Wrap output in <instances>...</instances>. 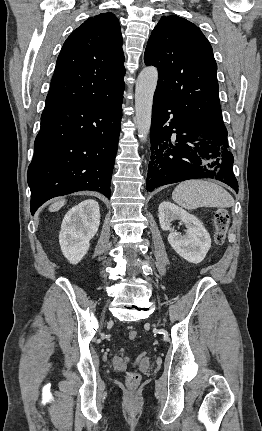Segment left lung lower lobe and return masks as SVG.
Masks as SVG:
<instances>
[{
    "instance_id": "1",
    "label": "left lung lower lobe",
    "mask_w": 262,
    "mask_h": 431,
    "mask_svg": "<svg viewBox=\"0 0 262 431\" xmlns=\"http://www.w3.org/2000/svg\"><path fill=\"white\" fill-rule=\"evenodd\" d=\"M150 141L147 191L201 178L220 180L238 191L226 128L205 131L196 127L157 92L154 94Z\"/></svg>"
}]
</instances>
